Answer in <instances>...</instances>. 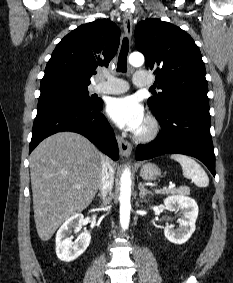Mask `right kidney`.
I'll list each match as a JSON object with an SVG mask.
<instances>
[{"label": "right kidney", "instance_id": "right-kidney-1", "mask_svg": "<svg viewBox=\"0 0 233 283\" xmlns=\"http://www.w3.org/2000/svg\"><path fill=\"white\" fill-rule=\"evenodd\" d=\"M95 219V216L93 217ZM84 216L77 213L68 218L59 228L56 234V254L63 262H71L78 258L88 248L91 235L89 232L84 233L81 238L72 242L70 237L73 229L77 230L82 226Z\"/></svg>", "mask_w": 233, "mask_h": 283}]
</instances>
